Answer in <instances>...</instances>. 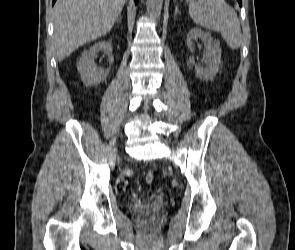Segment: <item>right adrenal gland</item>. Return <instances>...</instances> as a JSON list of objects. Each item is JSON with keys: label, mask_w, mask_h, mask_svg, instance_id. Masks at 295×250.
Masks as SVG:
<instances>
[{"label": "right adrenal gland", "mask_w": 295, "mask_h": 250, "mask_svg": "<svg viewBox=\"0 0 295 250\" xmlns=\"http://www.w3.org/2000/svg\"><path fill=\"white\" fill-rule=\"evenodd\" d=\"M117 22L122 23V17L121 16L118 17Z\"/></svg>", "instance_id": "right-adrenal-gland-1"}]
</instances>
